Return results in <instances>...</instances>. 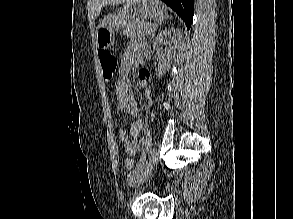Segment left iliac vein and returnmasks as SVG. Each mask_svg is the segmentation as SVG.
Here are the masks:
<instances>
[{
    "label": "left iliac vein",
    "mask_w": 293,
    "mask_h": 219,
    "mask_svg": "<svg viewBox=\"0 0 293 219\" xmlns=\"http://www.w3.org/2000/svg\"><path fill=\"white\" fill-rule=\"evenodd\" d=\"M157 155H158L157 149L155 147H153L151 159L149 160V162L147 163L145 168L140 170V173L138 175L137 188L145 181L148 174L151 172L153 165L155 164V162L157 160Z\"/></svg>",
    "instance_id": "left-iliac-vein-1"
}]
</instances>
